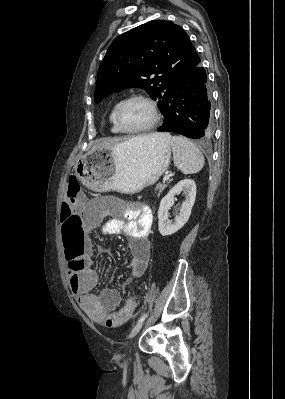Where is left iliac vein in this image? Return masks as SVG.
<instances>
[{
	"label": "left iliac vein",
	"mask_w": 285,
	"mask_h": 399,
	"mask_svg": "<svg viewBox=\"0 0 285 399\" xmlns=\"http://www.w3.org/2000/svg\"><path fill=\"white\" fill-rule=\"evenodd\" d=\"M143 324H144V321L138 323V324L133 328V330H132V332H131V334H130V339L134 338V337L139 333V331L141 330Z\"/></svg>",
	"instance_id": "left-iliac-vein-1"
}]
</instances>
